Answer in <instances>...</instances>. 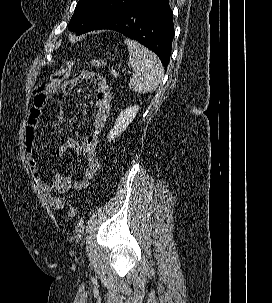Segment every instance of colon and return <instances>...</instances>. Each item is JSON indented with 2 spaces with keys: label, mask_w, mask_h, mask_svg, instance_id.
Instances as JSON below:
<instances>
[{
  "label": "colon",
  "mask_w": 272,
  "mask_h": 303,
  "mask_svg": "<svg viewBox=\"0 0 272 303\" xmlns=\"http://www.w3.org/2000/svg\"><path fill=\"white\" fill-rule=\"evenodd\" d=\"M91 65L97 68H100L104 65V62L100 58H93L90 61ZM72 63H69L67 67L62 70H59L52 74L51 82L48 84L51 93H57L60 90L62 83L70 76L72 72ZM110 75L112 77H118L119 73L116 69H110ZM68 216L73 219L76 216V210L73 207H70L68 210Z\"/></svg>",
  "instance_id": "1"
}]
</instances>
